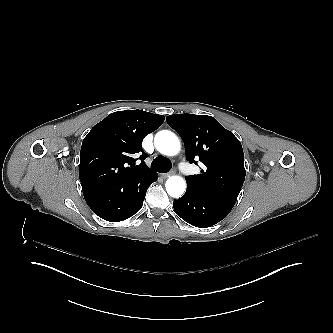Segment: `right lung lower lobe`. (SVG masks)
Wrapping results in <instances>:
<instances>
[{"label":"right lung lower lobe","instance_id":"right-lung-lower-lobe-1","mask_svg":"<svg viewBox=\"0 0 333 333\" xmlns=\"http://www.w3.org/2000/svg\"><path fill=\"white\" fill-rule=\"evenodd\" d=\"M157 179L158 174L150 170L122 182H90L83 194L88 206L100 218L123 221L141 209L148 187Z\"/></svg>","mask_w":333,"mask_h":333}]
</instances>
